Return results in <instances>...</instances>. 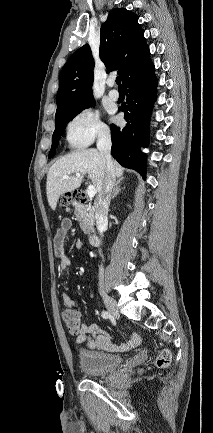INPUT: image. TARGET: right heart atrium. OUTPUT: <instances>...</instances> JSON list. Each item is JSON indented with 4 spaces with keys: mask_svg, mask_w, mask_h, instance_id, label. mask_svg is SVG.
<instances>
[{
    "mask_svg": "<svg viewBox=\"0 0 213 433\" xmlns=\"http://www.w3.org/2000/svg\"><path fill=\"white\" fill-rule=\"evenodd\" d=\"M66 135L72 147L81 148L88 146L97 138H107L109 130L100 120L96 110L85 108L69 121Z\"/></svg>",
    "mask_w": 213,
    "mask_h": 433,
    "instance_id": "d8ad5b80",
    "label": "right heart atrium"
}]
</instances>
